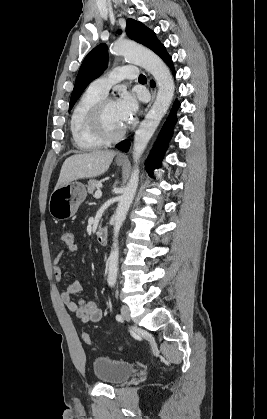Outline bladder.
Returning a JSON list of instances; mask_svg holds the SVG:
<instances>
[{
    "instance_id": "obj_1",
    "label": "bladder",
    "mask_w": 267,
    "mask_h": 419,
    "mask_svg": "<svg viewBox=\"0 0 267 419\" xmlns=\"http://www.w3.org/2000/svg\"><path fill=\"white\" fill-rule=\"evenodd\" d=\"M92 370L97 380L108 385H119L135 371L131 362L109 356H98L92 362Z\"/></svg>"
}]
</instances>
